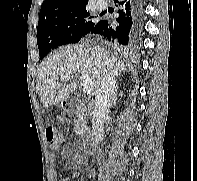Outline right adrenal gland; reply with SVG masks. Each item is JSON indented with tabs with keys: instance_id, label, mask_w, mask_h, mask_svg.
<instances>
[{
	"instance_id": "1",
	"label": "right adrenal gland",
	"mask_w": 197,
	"mask_h": 181,
	"mask_svg": "<svg viewBox=\"0 0 197 181\" xmlns=\"http://www.w3.org/2000/svg\"><path fill=\"white\" fill-rule=\"evenodd\" d=\"M119 75H120V73H119ZM117 91H118V84H116V86H115V93H114V99H113L112 105H115L116 104V101H117Z\"/></svg>"
}]
</instances>
